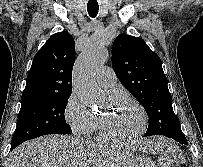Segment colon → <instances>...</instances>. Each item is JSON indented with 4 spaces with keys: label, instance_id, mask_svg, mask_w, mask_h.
Instances as JSON below:
<instances>
[{
    "label": "colon",
    "instance_id": "1",
    "mask_svg": "<svg viewBox=\"0 0 203 167\" xmlns=\"http://www.w3.org/2000/svg\"><path fill=\"white\" fill-rule=\"evenodd\" d=\"M157 167H180L176 162L166 156L157 159Z\"/></svg>",
    "mask_w": 203,
    "mask_h": 167
}]
</instances>
